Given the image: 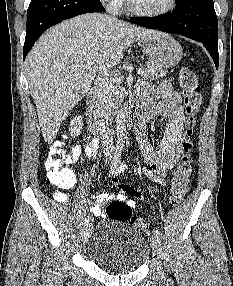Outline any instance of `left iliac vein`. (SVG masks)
I'll return each mask as SVG.
<instances>
[{"mask_svg": "<svg viewBox=\"0 0 233 286\" xmlns=\"http://www.w3.org/2000/svg\"><path fill=\"white\" fill-rule=\"evenodd\" d=\"M160 246H161V243H160L159 238L156 235H152L151 236V247L153 251L158 255H160L161 253Z\"/></svg>", "mask_w": 233, "mask_h": 286, "instance_id": "1", "label": "left iliac vein"}]
</instances>
